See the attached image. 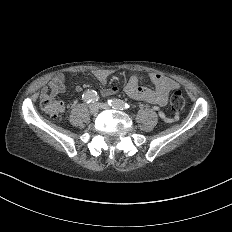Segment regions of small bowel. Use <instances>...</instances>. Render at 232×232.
<instances>
[{
  "label": "small bowel",
  "mask_w": 232,
  "mask_h": 232,
  "mask_svg": "<svg viewBox=\"0 0 232 232\" xmlns=\"http://www.w3.org/2000/svg\"><path fill=\"white\" fill-rule=\"evenodd\" d=\"M112 71L110 69H95L94 75L101 83H106L110 77ZM151 79L154 83V88H145L139 87L140 78L136 75H133L127 81V84L124 88V92L129 97L135 100H141L145 102H155L160 105H166L168 102V93L171 90L177 88V83L159 73L152 74ZM77 83L84 85L87 83L85 78H80L77 80ZM65 86V78L62 74L54 76L47 85L43 86L41 91L42 93H59ZM81 88L79 87L78 90ZM112 96L110 91H104L102 97L107 98Z\"/></svg>",
  "instance_id": "obj_1"
}]
</instances>
